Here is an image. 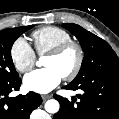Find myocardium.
Returning <instances> with one entry per match:
<instances>
[{"mask_svg":"<svg viewBox=\"0 0 119 119\" xmlns=\"http://www.w3.org/2000/svg\"><path fill=\"white\" fill-rule=\"evenodd\" d=\"M70 49L75 50L77 60L74 68L63 76L65 80H72L79 74L84 62V50L82 46L78 42L71 40L58 45L47 53L48 56L57 57L63 55Z\"/></svg>","mask_w":119,"mask_h":119,"instance_id":"myocardium-1","label":"myocardium"}]
</instances>
